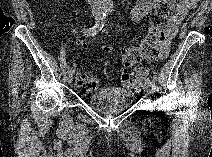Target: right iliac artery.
Masks as SVG:
<instances>
[{"instance_id": "obj_1", "label": "right iliac artery", "mask_w": 212, "mask_h": 157, "mask_svg": "<svg viewBox=\"0 0 212 157\" xmlns=\"http://www.w3.org/2000/svg\"><path fill=\"white\" fill-rule=\"evenodd\" d=\"M105 19H106V15L103 14L100 17L99 21L93 27L88 28L84 31V33H83L84 36L90 37V36H94V35L98 34L105 26ZM73 72H74V70L72 68H70L68 70L69 74H73Z\"/></svg>"}]
</instances>
